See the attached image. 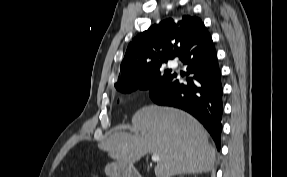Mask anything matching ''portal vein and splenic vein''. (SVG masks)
<instances>
[{"label":"portal vein and splenic vein","instance_id":"18ae733b","mask_svg":"<svg viewBox=\"0 0 287 177\" xmlns=\"http://www.w3.org/2000/svg\"><path fill=\"white\" fill-rule=\"evenodd\" d=\"M151 160H152L153 162H158V161H160V157H159L158 154H152Z\"/></svg>","mask_w":287,"mask_h":177}]
</instances>
